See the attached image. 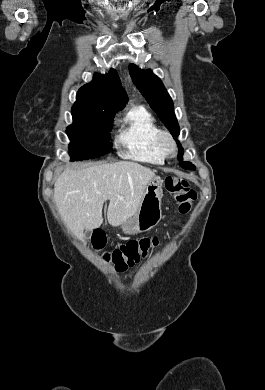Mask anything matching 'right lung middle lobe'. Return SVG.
Wrapping results in <instances>:
<instances>
[{
	"label": "right lung middle lobe",
	"mask_w": 265,
	"mask_h": 390,
	"mask_svg": "<svg viewBox=\"0 0 265 390\" xmlns=\"http://www.w3.org/2000/svg\"><path fill=\"white\" fill-rule=\"evenodd\" d=\"M73 124L67 127L70 139L71 160H83L105 155L112 149L110 130L114 114L109 112L73 107Z\"/></svg>",
	"instance_id": "dd1d6c3e"
}]
</instances>
